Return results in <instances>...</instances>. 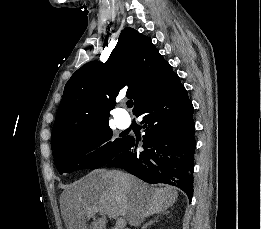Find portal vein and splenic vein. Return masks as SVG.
<instances>
[{
	"instance_id": "18ae733b",
	"label": "portal vein and splenic vein",
	"mask_w": 261,
	"mask_h": 229,
	"mask_svg": "<svg viewBox=\"0 0 261 229\" xmlns=\"http://www.w3.org/2000/svg\"><path fill=\"white\" fill-rule=\"evenodd\" d=\"M124 227H126L125 219H118L116 223V229H124Z\"/></svg>"
}]
</instances>
